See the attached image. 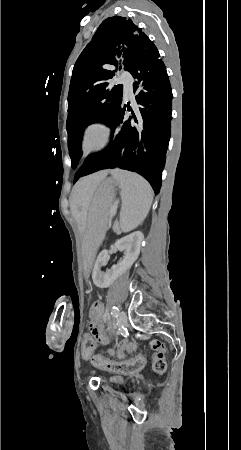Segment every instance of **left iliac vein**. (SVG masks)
I'll list each match as a JSON object with an SVG mask.
<instances>
[{"label": "left iliac vein", "instance_id": "1", "mask_svg": "<svg viewBox=\"0 0 241 450\" xmlns=\"http://www.w3.org/2000/svg\"><path fill=\"white\" fill-rule=\"evenodd\" d=\"M126 323H127L126 313L124 311H121L118 317V325L125 326Z\"/></svg>", "mask_w": 241, "mask_h": 450}]
</instances>
